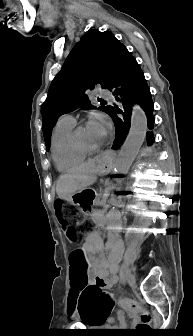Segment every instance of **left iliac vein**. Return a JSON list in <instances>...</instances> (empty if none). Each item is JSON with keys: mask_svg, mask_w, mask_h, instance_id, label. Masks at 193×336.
Segmentation results:
<instances>
[{"mask_svg": "<svg viewBox=\"0 0 193 336\" xmlns=\"http://www.w3.org/2000/svg\"><path fill=\"white\" fill-rule=\"evenodd\" d=\"M126 280L130 286L135 285L136 278H135V275L130 270H128L126 273Z\"/></svg>", "mask_w": 193, "mask_h": 336, "instance_id": "1", "label": "left iliac vein"}]
</instances>
